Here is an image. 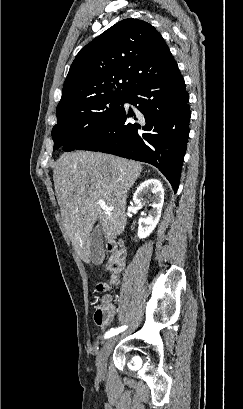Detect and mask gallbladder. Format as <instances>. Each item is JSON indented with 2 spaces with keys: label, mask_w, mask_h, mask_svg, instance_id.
Listing matches in <instances>:
<instances>
[{
  "label": "gallbladder",
  "mask_w": 243,
  "mask_h": 409,
  "mask_svg": "<svg viewBox=\"0 0 243 409\" xmlns=\"http://www.w3.org/2000/svg\"><path fill=\"white\" fill-rule=\"evenodd\" d=\"M91 261L100 264L104 260V244L99 229H94L90 236Z\"/></svg>",
  "instance_id": "bac80fb5"
}]
</instances>
